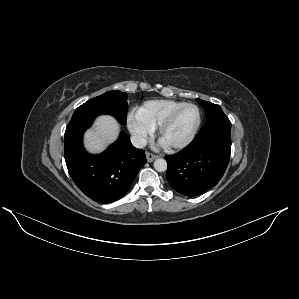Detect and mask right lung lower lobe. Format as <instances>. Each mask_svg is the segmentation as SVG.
<instances>
[{"label": "right lung lower lobe", "instance_id": "obj_1", "mask_svg": "<svg viewBox=\"0 0 299 299\" xmlns=\"http://www.w3.org/2000/svg\"><path fill=\"white\" fill-rule=\"evenodd\" d=\"M95 118L71 119L65 131V161L71 178L86 196L99 203H111L127 193L145 165L146 156L123 132L104 153L88 154L82 138Z\"/></svg>", "mask_w": 299, "mask_h": 299}]
</instances>
